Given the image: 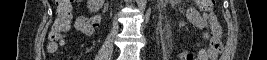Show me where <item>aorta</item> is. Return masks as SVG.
<instances>
[{
	"label": "aorta",
	"mask_w": 267,
	"mask_h": 60,
	"mask_svg": "<svg viewBox=\"0 0 267 60\" xmlns=\"http://www.w3.org/2000/svg\"><path fill=\"white\" fill-rule=\"evenodd\" d=\"M136 3L140 10H144L147 4V0H136Z\"/></svg>",
	"instance_id": "aorta-1"
}]
</instances>
